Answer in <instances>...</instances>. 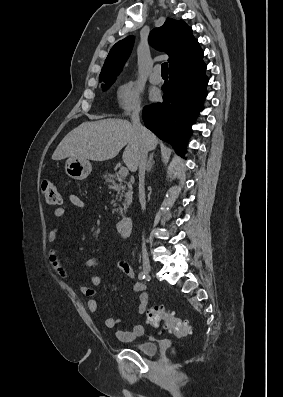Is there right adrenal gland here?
Segmentation results:
<instances>
[{"mask_svg": "<svg viewBox=\"0 0 283 397\" xmlns=\"http://www.w3.org/2000/svg\"><path fill=\"white\" fill-rule=\"evenodd\" d=\"M153 157H154V153H151L150 156H149L148 163H147V168H146L147 172H150V171H151V168H152L153 165H154Z\"/></svg>", "mask_w": 283, "mask_h": 397, "instance_id": "1", "label": "right adrenal gland"}]
</instances>
